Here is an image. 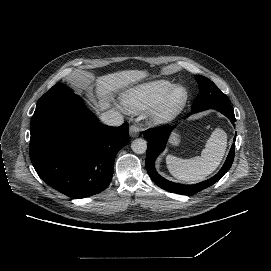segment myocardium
Listing matches in <instances>:
<instances>
[{
	"instance_id": "1",
	"label": "myocardium",
	"mask_w": 271,
	"mask_h": 271,
	"mask_svg": "<svg viewBox=\"0 0 271 271\" xmlns=\"http://www.w3.org/2000/svg\"><path fill=\"white\" fill-rule=\"evenodd\" d=\"M179 92H182L180 96ZM189 98V88L183 83L175 84L165 99L153 110L152 123L163 125L171 121L185 108Z\"/></svg>"
}]
</instances>
